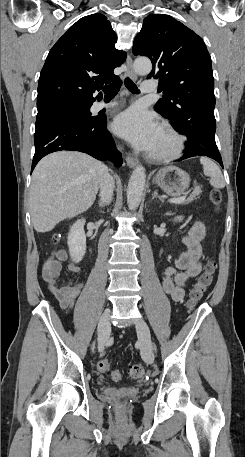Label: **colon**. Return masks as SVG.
<instances>
[{
    "label": "colon",
    "mask_w": 245,
    "mask_h": 457,
    "mask_svg": "<svg viewBox=\"0 0 245 457\" xmlns=\"http://www.w3.org/2000/svg\"><path fill=\"white\" fill-rule=\"evenodd\" d=\"M210 199L214 205H219L221 202V194L219 191L214 190L211 192ZM59 240V235L55 234L52 238L53 242ZM216 270V264L214 261L210 260L206 263L203 272L198 277L194 287L190 291L188 305L193 307L197 302H199L206 291L209 289L213 282V276ZM111 368V361L109 359H102L98 362V369L101 372H108ZM129 376L133 379H140L144 376L145 368L142 364L137 363L129 367L128 370ZM111 379L113 381H120L122 378V373L119 370H112L110 373Z\"/></svg>",
    "instance_id": "5ec220e1"
}]
</instances>
